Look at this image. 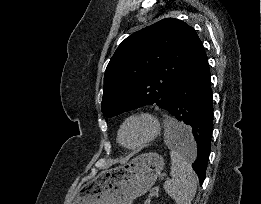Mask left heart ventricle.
<instances>
[{
	"instance_id": "1",
	"label": "left heart ventricle",
	"mask_w": 261,
	"mask_h": 204,
	"mask_svg": "<svg viewBox=\"0 0 261 204\" xmlns=\"http://www.w3.org/2000/svg\"><path fill=\"white\" fill-rule=\"evenodd\" d=\"M149 132V125L145 121H132L122 132V141L127 145L141 141Z\"/></svg>"
}]
</instances>
